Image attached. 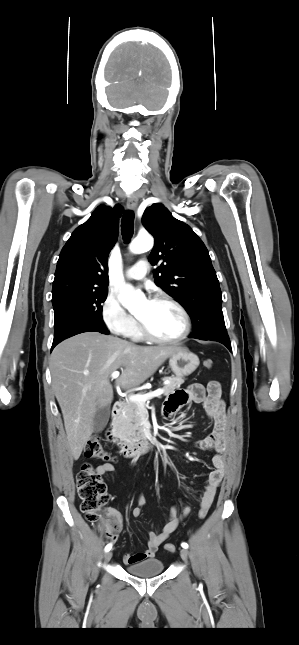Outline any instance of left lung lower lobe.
I'll return each instance as SVG.
<instances>
[{"label": "left lung lower lobe", "mask_w": 299, "mask_h": 645, "mask_svg": "<svg viewBox=\"0 0 299 645\" xmlns=\"http://www.w3.org/2000/svg\"><path fill=\"white\" fill-rule=\"evenodd\" d=\"M190 338H194V337H192L190 335ZM196 339L218 341V342L224 344L229 349V351H232L229 336L227 335L226 328H219L216 331L211 332L210 334H208L206 336L196 338Z\"/></svg>", "instance_id": "left-lung-lower-lobe-1"}]
</instances>
